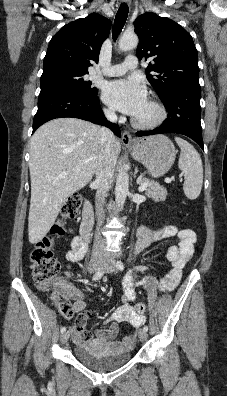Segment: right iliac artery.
<instances>
[{
    "label": "right iliac artery",
    "instance_id": "1",
    "mask_svg": "<svg viewBox=\"0 0 227 396\" xmlns=\"http://www.w3.org/2000/svg\"><path fill=\"white\" fill-rule=\"evenodd\" d=\"M103 271L102 270H100V271H98V272H96L95 274H94V276H93V280H99L102 276H103ZM64 332H66V328L65 327H62L61 328V333H64Z\"/></svg>",
    "mask_w": 227,
    "mask_h": 396
}]
</instances>
